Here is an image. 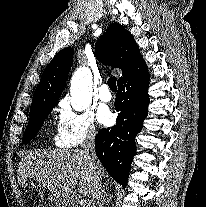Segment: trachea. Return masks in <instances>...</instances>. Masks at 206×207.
Wrapping results in <instances>:
<instances>
[{"instance_id":"3493384b","label":"trachea","mask_w":206,"mask_h":207,"mask_svg":"<svg viewBox=\"0 0 206 207\" xmlns=\"http://www.w3.org/2000/svg\"><path fill=\"white\" fill-rule=\"evenodd\" d=\"M108 86L109 88L112 90V91H116L117 90V85H116V77L113 76V77H110L108 79Z\"/></svg>"}]
</instances>
